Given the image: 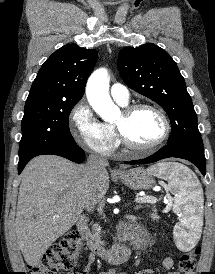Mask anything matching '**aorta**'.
<instances>
[{
    "label": "aorta",
    "instance_id": "762f6f07",
    "mask_svg": "<svg viewBox=\"0 0 215 274\" xmlns=\"http://www.w3.org/2000/svg\"><path fill=\"white\" fill-rule=\"evenodd\" d=\"M108 88V72L103 68L92 73L86 86V95L90 105L105 121H111L120 114L119 108L109 96Z\"/></svg>",
    "mask_w": 215,
    "mask_h": 274
}]
</instances>
